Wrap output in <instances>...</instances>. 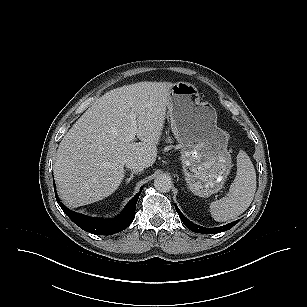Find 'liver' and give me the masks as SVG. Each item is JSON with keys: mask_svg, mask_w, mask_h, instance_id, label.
I'll use <instances>...</instances> for the list:
<instances>
[{"mask_svg": "<svg viewBox=\"0 0 307 307\" xmlns=\"http://www.w3.org/2000/svg\"><path fill=\"white\" fill-rule=\"evenodd\" d=\"M171 82H139L113 89L76 121L57 150L53 172L63 203L79 207L113 194L129 159L152 166L164 127ZM141 142H126L131 113Z\"/></svg>", "mask_w": 307, "mask_h": 307, "instance_id": "6515ba94", "label": "liver"}]
</instances>
